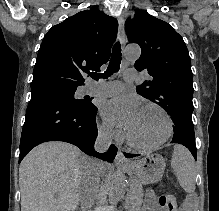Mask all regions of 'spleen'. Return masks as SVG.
<instances>
[{
  "instance_id": "spleen-1",
  "label": "spleen",
  "mask_w": 219,
  "mask_h": 211,
  "mask_svg": "<svg viewBox=\"0 0 219 211\" xmlns=\"http://www.w3.org/2000/svg\"><path fill=\"white\" fill-rule=\"evenodd\" d=\"M171 165L177 175V179L185 191L192 193L196 187L195 161L187 147L176 143L172 155Z\"/></svg>"
}]
</instances>
